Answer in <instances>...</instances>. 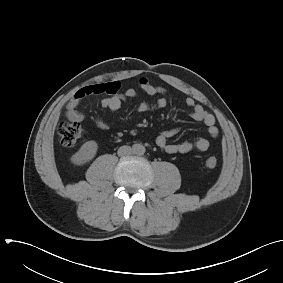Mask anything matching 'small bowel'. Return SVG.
Listing matches in <instances>:
<instances>
[{"mask_svg":"<svg viewBox=\"0 0 283 283\" xmlns=\"http://www.w3.org/2000/svg\"><path fill=\"white\" fill-rule=\"evenodd\" d=\"M139 85L147 95L158 96L153 103H140L137 107L139 112H149L166 107L168 94L165 88L151 84L146 78H141ZM100 94L106 95L102 99L101 105L110 112L118 111L124 101L137 96V92L134 88H127L125 91L121 92L120 83L117 81L85 86L79 89L69 101L66 117L73 122L82 121L84 114L79 109L82 100L87 96ZM185 103L192 110L190 116L206 126V131L210 137H217L219 130L215 125L216 121L214 115L206 111L191 97H187ZM94 122L99 129L106 130L109 128V124L102 119L96 118ZM177 133V129H169L161 132L156 138L157 146L167 154H184L191 151L204 152L209 148V141L206 138H198L194 141L181 143H170L169 139L174 137Z\"/></svg>","mask_w":283,"mask_h":283,"instance_id":"obj_1","label":"small bowel"}]
</instances>
